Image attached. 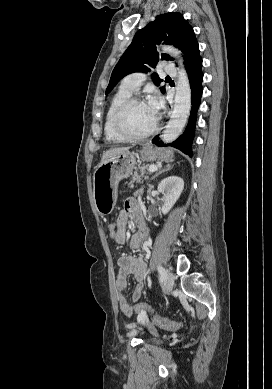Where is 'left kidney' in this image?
Here are the masks:
<instances>
[{
	"instance_id": "left-kidney-1",
	"label": "left kidney",
	"mask_w": 272,
	"mask_h": 389,
	"mask_svg": "<svg viewBox=\"0 0 272 389\" xmlns=\"http://www.w3.org/2000/svg\"><path fill=\"white\" fill-rule=\"evenodd\" d=\"M184 181L177 176H169L158 185V191L163 194L162 213L167 214L180 197Z\"/></svg>"
}]
</instances>
